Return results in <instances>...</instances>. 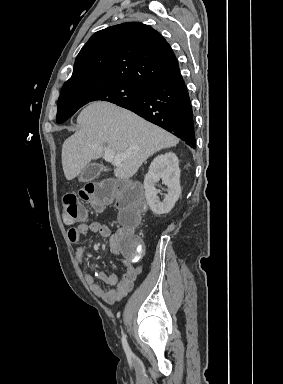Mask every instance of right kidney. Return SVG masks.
Instances as JSON below:
<instances>
[{"label":"right kidney","mask_w":283,"mask_h":384,"mask_svg":"<svg viewBox=\"0 0 283 384\" xmlns=\"http://www.w3.org/2000/svg\"><path fill=\"white\" fill-rule=\"evenodd\" d=\"M178 158L173 152L168 154H162L157 156L150 164L149 172L145 176L144 190L145 198L147 200L150 210L153 214H169L171 212L175 202H177L181 194L180 186V170L178 166ZM162 180L163 184L167 186L168 194H166L164 200H159L157 194H160V190H156V182Z\"/></svg>","instance_id":"right-kidney-1"}]
</instances>
